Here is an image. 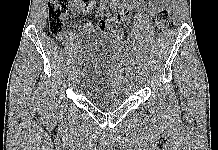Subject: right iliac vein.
Listing matches in <instances>:
<instances>
[{"label": "right iliac vein", "mask_w": 218, "mask_h": 150, "mask_svg": "<svg viewBox=\"0 0 218 150\" xmlns=\"http://www.w3.org/2000/svg\"><path fill=\"white\" fill-rule=\"evenodd\" d=\"M78 75H79V69L77 68V69H75V73H74L75 80H77Z\"/></svg>", "instance_id": "1"}]
</instances>
